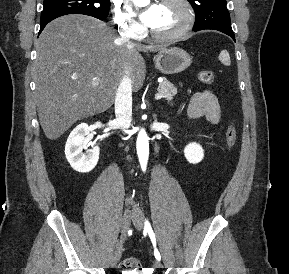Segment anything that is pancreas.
Here are the masks:
<instances>
[{"label": "pancreas", "instance_id": "pancreas-1", "mask_svg": "<svg viewBox=\"0 0 289 274\" xmlns=\"http://www.w3.org/2000/svg\"><path fill=\"white\" fill-rule=\"evenodd\" d=\"M158 93H160L166 100H172L173 96L177 94V89L171 82H169L167 79H164L159 84Z\"/></svg>", "mask_w": 289, "mask_h": 274}]
</instances>
